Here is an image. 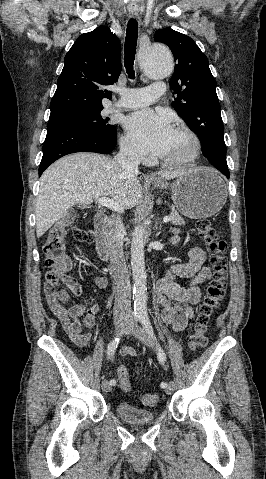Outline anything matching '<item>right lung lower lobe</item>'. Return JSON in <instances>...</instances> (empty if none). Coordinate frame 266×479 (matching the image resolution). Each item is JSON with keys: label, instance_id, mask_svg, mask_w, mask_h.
Here are the masks:
<instances>
[{"label": "right lung lower lobe", "instance_id": "1", "mask_svg": "<svg viewBox=\"0 0 266 479\" xmlns=\"http://www.w3.org/2000/svg\"><path fill=\"white\" fill-rule=\"evenodd\" d=\"M115 146V132H100L68 123L49 122L39 176L50 164L67 154L75 152L107 154Z\"/></svg>", "mask_w": 266, "mask_h": 479}]
</instances>
